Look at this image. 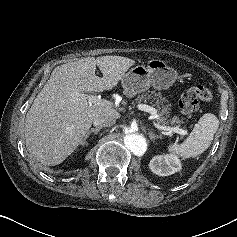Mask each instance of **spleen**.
Segmentation results:
<instances>
[{"mask_svg": "<svg viewBox=\"0 0 237 237\" xmlns=\"http://www.w3.org/2000/svg\"><path fill=\"white\" fill-rule=\"evenodd\" d=\"M218 127V118L212 113H206L195 124L190 136L183 143H173L168 146V150L183 159L197 157L210 146Z\"/></svg>", "mask_w": 237, "mask_h": 237, "instance_id": "1", "label": "spleen"}]
</instances>
